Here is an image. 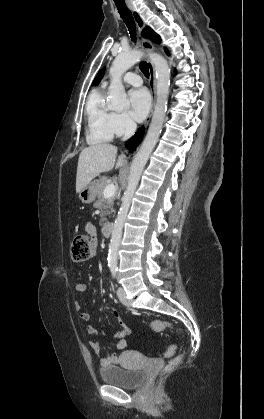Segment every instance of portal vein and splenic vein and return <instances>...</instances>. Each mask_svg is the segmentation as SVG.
<instances>
[{"label":"portal vein and splenic vein","mask_w":264,"mask_h":419,"mask_svg":"<svg viewBox=\"0 0 264 419\" xmlns=\"http://www.w3.org/2000/svg\"><path fill=\"white\" fill-rule=\"evenodd\" d=\"M116 193V186L114 184H108L106 188L104 189V197L108 198Z\"/></svg>","instance_id":"18ae733b"}]
</instances>
